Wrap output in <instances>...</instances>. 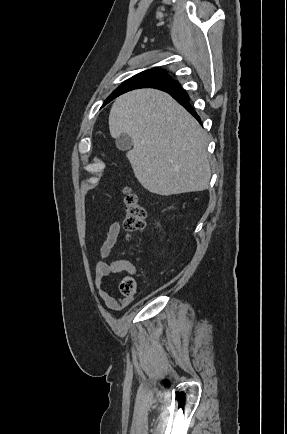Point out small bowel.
<instances>
[{"instance_id": "c3829d8e", "label": "small bowel", "mask_w": 287, "mask_h": 434, "mask_svg": "<svg viewBox=\"0 0 287 434\" xmlns=\"http://www.w3.org/2000/svg\"><path fill=\"white\" fill-rule=\"evenodd\" d=\"M121 226L118 221L110 224L107 229L105 238L100 246V256L103 259L110 257L114 246L117 243ZM126 271L129 273L135 272V267L132 263L125 259H115L110 262L99 261L95 267V284L98 288V293L104 304L113 311H120L130 305L134 297L119 298L111 294L107 290L108 279L116 273Z\"/></svg>"}]
</instances>
